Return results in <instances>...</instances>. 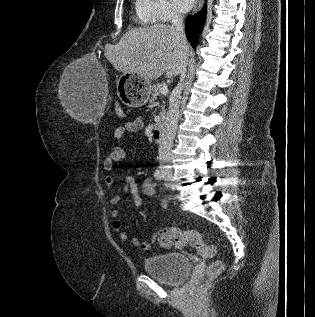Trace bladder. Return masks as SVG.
I'll return each instance as SVG.
<instances>
[{"label": "bladder", "mask_w": 315, "mask_h": 317, "mask_svg": "<svg viewBox=\"0 0 315 317\" xmlns=\"http://www.w3.org/2000/svg\"><path fill=\"white\" fill-rule=\"evenodd\" d=\"M144 270L155 279L167 284H179L190 273V260L180 253L159 254L145 259Z\"/></svg>", "instance_id": "obj_1"}]
</instances>
